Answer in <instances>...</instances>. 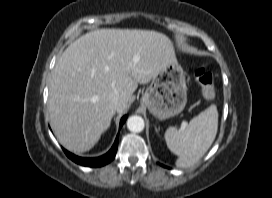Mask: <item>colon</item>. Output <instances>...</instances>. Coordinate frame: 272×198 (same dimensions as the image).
I'll return each instance as SVG.
<instances>
[{
    "mask_svg": "<svg viewBox=\"0 0 272 198\" xmlns=\"http://www.w3.org/2000/svg\"><path fill=\"white\" fill-rule=\"evenodd\" d=\"M192 74L201 88V94L205 100H212L215 97L213 75L204 67L195 66Z\"/></svg>",
    "mask_w": 272,
    "mask_h": 198,
    "instance_id": "colon-1",
    "label": "colon"
}]
</instances>
